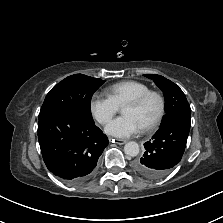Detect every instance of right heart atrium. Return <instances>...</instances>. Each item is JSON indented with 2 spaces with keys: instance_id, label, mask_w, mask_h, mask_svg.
Returning <instances> with one entry per match:
<instances>
[{
  "instance_id": "right-heart-atrium-1",
  "label": "right heart atrium",
  "mask_w": 223,
  "mask_h": 223,
  "mask_svg": "<svg viewBox=\"0 0 223 223\" xmlns=\"http://www.w3.org/2000/svg\"><path fill=\"white\" fill-rule=\"evenodd\" d=\"M119 106L108 95L95 93L90 100L93 117L102 125L107 124L117 113Z\"/></svg>"
}]
</instances>
